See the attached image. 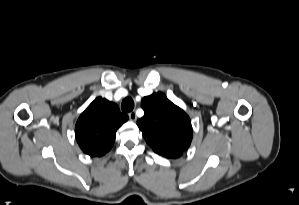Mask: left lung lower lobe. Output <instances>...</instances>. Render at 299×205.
<instances>
[{"label": "left lung lower lobe", "instance_id": "1", "mask_svg": "<svg viewBox=\"0 0 299 205\" xmlns=\"http://www.w3.org/2000/svg\"><path fill=\"white\" fill-rule=\"evenodd\" d=\"M182 155V152H171L166 158H177Z\"/></svg>", "mask_w": 299, "mask_h": 205}]
</instances>
